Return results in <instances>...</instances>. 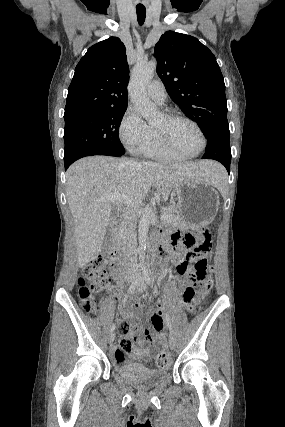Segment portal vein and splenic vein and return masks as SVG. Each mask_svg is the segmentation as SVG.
<instances>
[{"mask_svg": "<svg viewBox=\"0 0 285 427\" xmlns=\"http://www.w3.org/2000/svg\"><path fill=\"white\" fill-rule=\"evenodd\" d=\"M101 200L102 201H112V202L117 201L120 203L128 204V202L118 194L105 196ZM160 218H161V220H166L168 218V216L166 214L162 213Z\"/></svg>", "mask_w": 285, "mask_h": 427, "instance_id": "portal-vein-and-splenic-vein-1", "label": "portal vein and splenic vein"}]
</instances>
